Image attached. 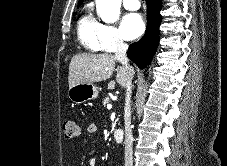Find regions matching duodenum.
I'll return each mask as SVG.
<instances>
[{"label":"duodenum","instance_id":"1","mask_svg":"<svg viewBox=\"0 0 227 166\" xmlns=\"http://www.w3.org/2000/svg\"><path fill=\"white\" fill-rule=\"evenodd\" d=\"M114 140L118 145H121L124 140V132L121 128L114 130Z\"/></svg>","mask_w":227,"mask_h":166}]
</instances>
